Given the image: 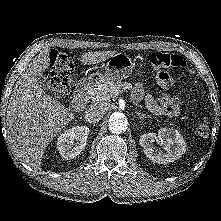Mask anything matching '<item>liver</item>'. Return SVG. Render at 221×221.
Listing matches in <instances>:
<instances>
[{
    "label": "liver",
    "mask_w": 221,
    "mask_h": 221,
    "mask_svg": "<svg viewBox=\"0 0 221 221\" xmlns=\"http://www.w3.org/2000/svg\"><path fill=\"white\" fill-rule=\"evenodd\" d=\"M115 51H95L82 55L85 65L98 64L113 56ZM50 62V49L41 51L20 74L10 97L6 125L8 140L14 153L27 165L38 168L44 150L53 138L74 118L73 113L46 94L36 76Z\"/></svg>",
    "instance_id": "6515ba94"
}]
</instances>
